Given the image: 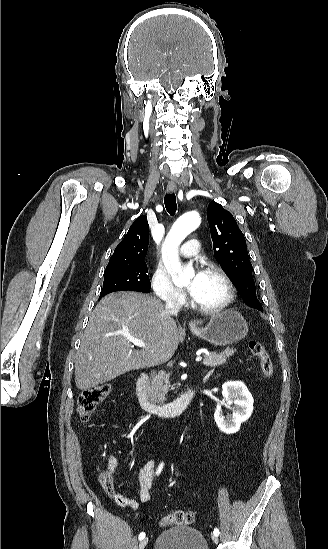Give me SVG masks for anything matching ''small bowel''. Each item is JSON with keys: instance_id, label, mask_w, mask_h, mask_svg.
<instances>
[{"instance_id": "small-bowel-1", "label": "small bowel", "mask_w": 328, "mask_h": 549, "mask_svg": "<svg viewBox=\"0 0 328 549\" xmlns=\"http://www.w3.org/2000/svg\"><path fill=\"white\" fill-rule=\"evenodd\" d=\"M154 460L146 462L138 472L139 482V500L142 503H146L151 498L152 486L157 478V470ZM118 468V460L115 456L109 455L107 458V474L110 476ZM108 495L121 507L134 510L138 503L134 499L128 498L120 492H116L112 483V488Z\"/></svg>"}]
</instances>
